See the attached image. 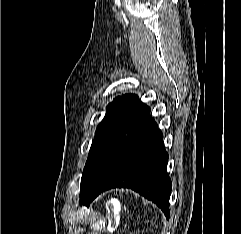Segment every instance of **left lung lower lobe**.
<instances>
[{"instance_id": "0a47b994", "label": "left lung lower lobe", "mask_w": 241, "mask_h": 234, "mask_svg": "<svg viewBox=\"0 0 241 234\" xmlns=\"http://www.w3.org/2000/svg\"><path fill=\"white\" fill-rule=\"evenodd\" d=\"M143 103L133 111L111 144L92 179L83 205L111 188H131L153 201L169 218L171 180L163 135Z\"/></svg>"}]
</instances>
